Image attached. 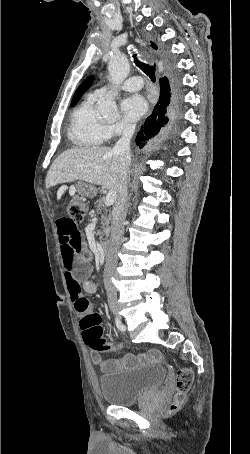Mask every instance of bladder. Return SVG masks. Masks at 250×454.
Segmentation results:
<instances>
[{
	"instance_id": "obj_1",
	"label": "bladder",
	"mask_w": 250,
	"mask_h": 454,
	"mask_svg": "<svg viewBox=\"0 0 250 454\" xmlns=\"http://www.w3.org/2000/svg\"><path fill=\"white\" fill-rule=\"evenodd\" d=\"M165 377L161 365L119 370L102 375L99 388L104 401L116 406H131L157 391Z\"/></svg>"
}]
</instances>
